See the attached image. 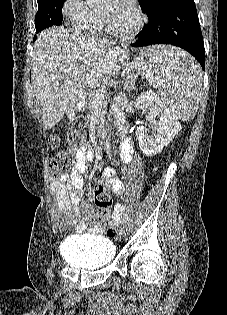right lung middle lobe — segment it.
Returning a JSON list of instances; mask_svg holds the SVG:
<instances>
[{"instance_id": "right-lung-middle-lobe-1", "label": "right lung middle lobe", "mask_w": 227, "mask_h": 315, "mask_svg": "<svg viewBox=\"0 0 227 315\" xmlns=\"http://www.w3.org/2000/svg\"><path fill=\"white\" fill-rule=\"evenodd\" d=\"M37 2L38 11L35 16L37 33L47 27L62 24V7L65 0H41Z\"/></svg>"}]
</instances>
